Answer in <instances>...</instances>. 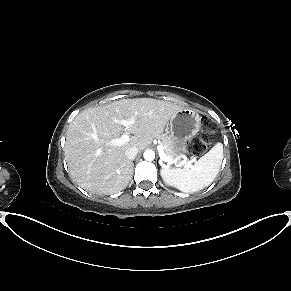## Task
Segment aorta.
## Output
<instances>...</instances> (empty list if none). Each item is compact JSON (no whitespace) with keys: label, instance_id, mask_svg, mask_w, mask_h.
<instances>
[{"label":"aorta","instance_id":"aorta-1","mask_svg":"<svg viewBox=\"0 0 291 291\" xmlns=\"http://www.w3.org/2000/svg\"><path fill=\"white\" fill-rule=\"evenodd\" d=\"M143 156L145 160L152 161L155 159V152L153 150L148 149L144 151Z\"/></svg>","mask_w":291,"mask_h":291}]
</instances>
